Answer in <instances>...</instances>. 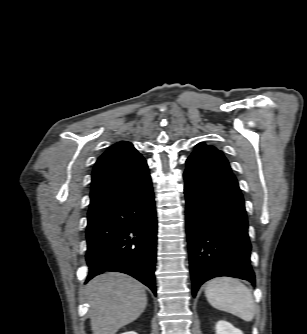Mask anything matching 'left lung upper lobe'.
<instances>
[{
  "label": "left lung upper lobe",
  "instance_id": "left-lung-upper-lobe-1",
  "mask_svg": "<svg viewBox=\"0 0 307 334\" xmlns=\"http://www.w3.org/2000/svg\"><path fill=\"white\" fill-rule=\"evenodd\" d=\"M187 164H199L208 168L231 171L228 160L222 151L211 145L201 142L196 145L195 150L186 161Z\"/></svg>",
  "mask_w": 307,
  "mask_h": 334
}]
</instances>
